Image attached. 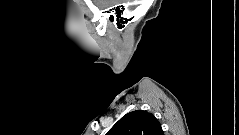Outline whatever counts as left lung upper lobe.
<instances>
[{
  "mask_svg": "<svg viewBox=\"0 0 239 135\" xmlns=\"http://www.w3.org/2000/svg\"><path fill=\"white\" fill-rule=\"evenodd\" d=\"M107 135H163V130L153 114L136 110L117 121Z\"/></svg>",
  "mask_w": 239,
  "mask_h": 135,
  "instance_id": "5c2ea615",
  "label": "left lung upper lobe"
}]
</instances>
